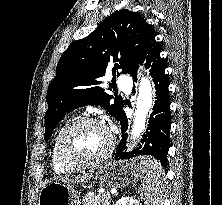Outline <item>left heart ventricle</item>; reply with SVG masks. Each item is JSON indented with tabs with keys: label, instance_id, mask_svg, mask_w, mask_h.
Listing matches in <instances>:
<instances>
[{
	"label": "left heart ventricle",
	"instance_id": "obj_1",
	"mask_svg": "<svg viewBox=\"0 0 222 205\" xmlns=\"http://www.w3.org/2000/svg\"><path fill=\"white\" fill-rule=\"evenodd\" d=\"M107 143L108 135L103 127L97 124H84L68 135L65 149L70 157L87 160L100 155Z\"/></svg>",
	"mask_w": 222,
	"mask_h": 205
}]
</instances>
